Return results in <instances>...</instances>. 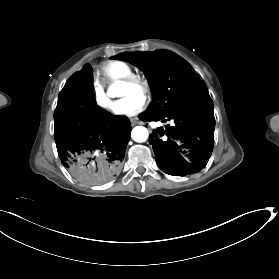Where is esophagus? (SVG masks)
I'll use <instances>...</instances> for the list:
<instances>
[{"label": "esophagus", "mask_w": 279, "mask_h": 279, "mask_svg": "<svg viewBox=\"0 0 279 279\" xmlns=\"http://www.w3.org/2000/svg\"><path fill=\"white\" fill-rule=\"evenodd\" d=\"M130 121H131V123H132L133 125L139 124V123H140L137 117L130 118Z\"/></svg>", "instance_id": "1"}]
</instances>
